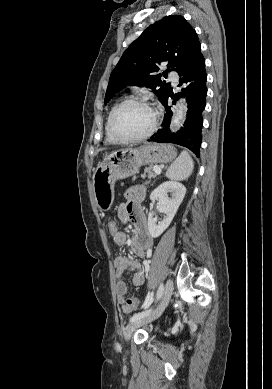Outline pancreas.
<instances>
[{"label": "pancreas", "instance_id": "1", "mask_svg": "<svg viewBox=\"0 0 272 389\" xmlns=\"http://www.w3.org/2000/svg\"><path fill=\"white\" fill-rule=\"evenodd\" d=\"M144 173H145V174L143 175V177H145L146 174H147V176H148L149 179H152V178L155 177V174L153 173L152 167H151V166H150V167H146L145 170H144Z\"/></svg>", "mask_w": 272, "mask_h": 389}]
</instances>
